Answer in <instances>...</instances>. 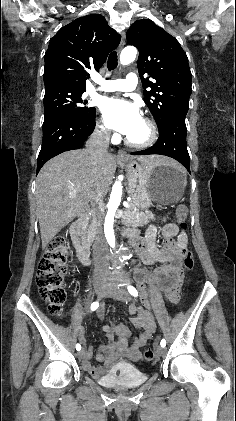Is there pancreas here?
<instances>
[{"label":"pancreas","instance_id":"1","mask_svg":"<svg viewBox=\"0 0 236 421\" xmlns=\"http://www.w3.org/2000/svg\"><path fill=\"white\" fill-rule=\"evenodd\" d=\"M149 219H154L152 213H140L138 208H135L134 202H129L128 208H125L124 219H122L121 223L126 225V227H143V225L149 223ZM85 227V233H87L88 237H92L95 233V223L91 215H89L88 223Z\"/></svg>","mask_w":236,"mask_h":421}]
</instances>
